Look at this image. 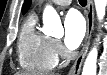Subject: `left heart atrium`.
<instances>
[{
	"label": "left heart atrium",
	"instance_id": "obj_1",
	"mask_svg": "<svg viewBox=\"0 0 107 75\" xmlns=\"http://www.w3.org/2000/svg\"><path fill=\"white\" fill-rule=\"evenodd\" d=\"M85 21L77 11L67 13L64 20V43L70 50L79 47L85 36Z\"/></svg>",
	"mask_w": 107,
	"mask_h": 75
}]
</instances>
